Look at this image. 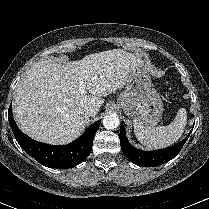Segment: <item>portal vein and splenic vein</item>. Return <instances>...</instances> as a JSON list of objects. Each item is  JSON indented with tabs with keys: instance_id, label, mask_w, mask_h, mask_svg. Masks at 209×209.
<instances>
[{
	"instance_id": "obj_1",
	"label": "portal vein and splenic vein",
	"mask_w": 209,
	"mask_h": 209,
	"mask_svg": "<svg viewBox=\"0 0 209 209\" xmlns=\"http://www.w3.org/2000/svg\"><path fill=\"white\" fill-rule=\"evenodd\" d=\"M79 92L81 94H84L85 93V83H84V81H80L79 82Z\"/></svg>"
}]
</instances>
